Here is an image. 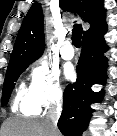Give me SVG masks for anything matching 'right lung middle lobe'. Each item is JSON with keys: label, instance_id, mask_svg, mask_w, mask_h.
I'll return each instance as SVG.
<instances>
[{"label": "right lung middle lobe", "instance_id": "1", "mask_svg": "<svg viewBox=\"0 0 117 136\" xmlns=\"http://www.w3.org/2000/svg\"><path fill=\"white\" fill-rule=\"evenodd\" d=\"M35 60L36 59L22 60L8 66L2 91V106L7 105L11 92L15 86V82L19 78L20 74Z\"/></svg>", "mask_w": 117, "mask_h": 136}]
</instances>
